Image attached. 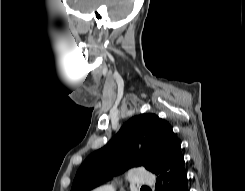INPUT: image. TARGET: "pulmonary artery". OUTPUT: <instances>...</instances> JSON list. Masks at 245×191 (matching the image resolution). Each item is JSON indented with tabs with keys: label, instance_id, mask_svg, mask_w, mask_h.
<instances>
[{
	"label": "pulmonary artery",
	"instance_id": "obj_1",
	"mask_svg": "<svg viewBox=\"0 0 245 191\" xmlns=\"http://www.w3.org/2000/svg\"><path fill=\"white\" fill-rule=\"evenodd\" d=\"M128 181L137 186H150L154 183V175L143 168H134L127 175ZM93 191H115L114 184H106L95 188Z\"/></svg>",
	"mask_w": 245,
	"mask_h": 191
}]
</instances>
